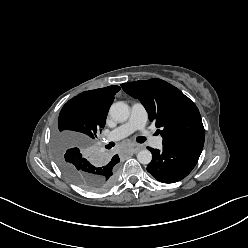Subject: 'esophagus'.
Segmentation results:
<instances>
[{"label":"esophagus","mask_w":248,"mask_h":248,"mask_svg":"<svg viewBox=\"0 0 248 248\" xmlns=\"http://www.w3.org/2000/svg\"><path fill=\"white\" fill-rule=\"evenodd\" d=\"M141 146L138 145V144H133L132 147H131V150L133 153H137L139 150H141Z\"/></svg>","instance_id":"34e87169"}]
</instances>
